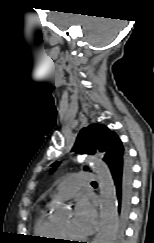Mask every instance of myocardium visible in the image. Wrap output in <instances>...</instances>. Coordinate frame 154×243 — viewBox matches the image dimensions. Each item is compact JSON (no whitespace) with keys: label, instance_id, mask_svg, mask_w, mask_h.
<instances>
[{"label":"myocardium","instance_id":"myocardium-1","mask_svg":"<svg viewBox=\"0 0 154 243\" xmlns=\"http://www.w3.org/2000/svg\"><path fill=\"white\" fill-rule=\"evenodd\" d=\"M58 233L60 235V238H62V239H67L68 237H70V234L66 233L65 231H63L59 227H58Z\"/></svg>","mask_w":154,"mask_h":243}]
</instances>
